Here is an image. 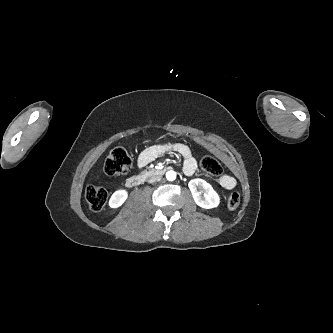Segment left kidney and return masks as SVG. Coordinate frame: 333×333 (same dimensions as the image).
I'll use <instances>...</instances> for the list:
<instances>
[{"label": "left kidney", "mask_w": 333, "mask_h": 333, "mask_svg": "<svg viewBox=\"0 0 333 333\" xmlns=\"http://www.w3.org/2000/svg\"><path fill=\"white\" fill-rule=\"evenodd\" d=\"M188 186L192 193L193 199L198 206L210 209L219 205L220 198L218 194L205 180L192 179L190 180ZM197 187L202 189V192H204L203 196L201 195V191L197 190Z\"/></svg>", "instance_id": "1"}]
</instances>
